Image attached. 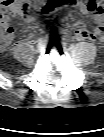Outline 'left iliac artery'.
<instances>
[{"instance_id":"obj_1","label":"left iliac artery","mask_w":104,"mask_h":137,"mask_svg":"<svg viewBox=\"0 0 104 137\" xmlns=\"http://www.w3.org/2000/svg\"><path fill=\"white\" fill-rule=\"evenodd\" d=\"M62 46H63L64 49H67V43L63 42Z\"/></svg>"}]
</instances>
